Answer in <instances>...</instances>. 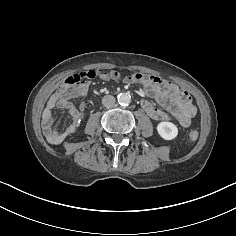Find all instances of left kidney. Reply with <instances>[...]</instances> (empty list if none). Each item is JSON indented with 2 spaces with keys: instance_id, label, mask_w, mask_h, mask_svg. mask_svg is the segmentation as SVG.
Returning a JSON list of instances; mask_svg holds the SVG:
<instances>
[{
  "instance_id": "1",
  "label": "left kidney",
  "mask_w": 236,
  "mask_h": 236,
  "mask_svg": "<svg viewBox=\"0 0 236 236\" xmlns=\"http://www.w3.org/2000/svg\"><path fill=\"white\" fill-rule=\"evenodd\" d=\"M158 134L165 140H173L178 135V128L171 122H160L157 125Z\"/></svg>"
}]
</instances>
